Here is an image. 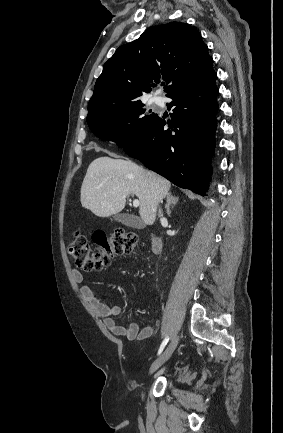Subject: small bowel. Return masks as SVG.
I'll return each instance as SVG.
<instances>
[{
	"instance_id": "small-bowel-1",
	"label": "small bowel",
	"mask_w": 283,
	"mask_h": 433,
	"mask_svg": "<svg viewBox=\"0 0 283 433\" xmlns=\"http://www.w3.org/2000/svg\"><path fill=\"white\" fill-rule=\"evenodd\" d=\"M73 277L79 284L83 283L85 279L84 274L79 270L73 271ZM80 293L82 297L95 309L98 315L103 319L105 326L113 334L123 336L131 341H143L152 336L154 328L150 324L143 328H140L137 323H131L127 327L120 325L116 321V318L122 314L121 306L119 304L107 305L101 302L95 297L90 286L85 284L81 285Z\"/></svg>"
}]
</instances>
